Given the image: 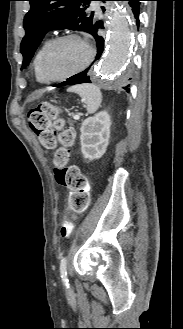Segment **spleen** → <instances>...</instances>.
Segmentation results:
<instances>
[{"label":"spleen","mask_w":183,"mask_h":329,"mask_svg":"<svg viewBox=\"0 0 183 329\" xmlns=\"http://www.w3.org/2000/svg\"><path fill=\"white\" fill-rule=\"evenodd\" d=\"M68 91L77 93L81 97L88 113H95L99 109L102 102V93L96 85H75L70 87Z\"/></svg>","instance_id":"spleen-1"}]
</instances>
